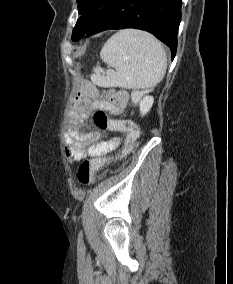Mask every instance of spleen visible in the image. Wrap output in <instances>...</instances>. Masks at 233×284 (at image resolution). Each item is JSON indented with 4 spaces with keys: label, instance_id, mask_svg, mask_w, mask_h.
I'll return each mask as SVG.
<instances>
[{
    "label": "spleen",
    "instance_id": "spleen-1",
    "mask_svg": "<svg viewBox=\"0 0 233 284\" xmlns=\"http://www.w3.org/2000/svg\"><path fill=\"white\" fill-rule=\"evenodd\" d=\"M100 57L110 67L96 68L92 81L101 87L152 89L164 78L167 57L162 44L151 34L124 29L107 40Z\"/></svg>",
    "mask_w": 233,
    "mask_h": 284
}]
</instances>
